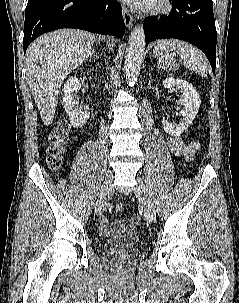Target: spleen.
I'll return each instance as SVG.
<instances>
[{"mask_svg": "<svg viewBox=\"0 0 239 303\" xmlns=\"http://www.w3.org/2000/svg\"><path fill=\"white\" fill-rule=\"evenodd\" d=\"M153 52L163 69H175L177 67L175 56L179 55L181 63L187 69L195 71L202 77L207 76L208 62L205 55L190 43L177 39L162 40L157 43Z\"/></svg>", "mask_w": 239, "mask_h": 303, "instance_id": "obj_1", "label": "spleen"}]
</instances>
